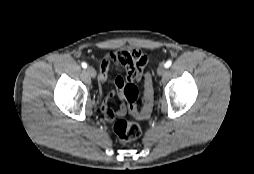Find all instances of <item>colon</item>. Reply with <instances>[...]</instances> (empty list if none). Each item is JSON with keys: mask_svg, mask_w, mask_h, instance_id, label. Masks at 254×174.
<instances>
[{"mask_svg": "<svg viewBox=\"0 0 254 174\" xmlns=\"http://www.w3.org/2000/svg\"><path fill=\"white\" fill-rule=\"evenodd\" d=\"M122 94L127 102V108L131 115L138 119H146L150 117L153 109V89L150 78L146 79L145 95L143 99V107L141 110L137 108L138 87L132 81L125 83L122 87ZM125 108L118 110L119 115H123ZM113 130L117 138L122 143H127L137 139L141 134L140 126L125 118L118 119L113 126Z\"/></svg>", "mask_w": 254, "mask_h": 174, "instance_id": "obj_1", "label": "colon"}]
</instances>
